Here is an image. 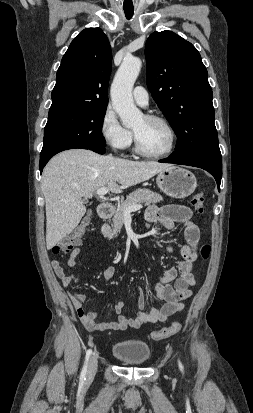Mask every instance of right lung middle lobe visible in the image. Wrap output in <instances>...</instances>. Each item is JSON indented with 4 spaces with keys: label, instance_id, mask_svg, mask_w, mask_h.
<instances>
[{
    "label": "right lung middle lobe",
    "instance_id": "obj_1",
    "mask_svg": "<svg viewBox=\"0 0 253 413\" xmlns=\"http://www.w3.org/2000/svg\"><path fill=\"white\" fill-rule=\"evenodd\" d=\"M105 113L106 108H99L70 110L48 115L41 152L69 143L85 145L105 143L102 135Z\"/></svg>",
    "mask_w": 253,
    "mask_h": 413
}]
</instances>
